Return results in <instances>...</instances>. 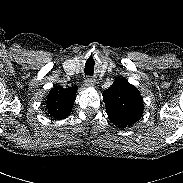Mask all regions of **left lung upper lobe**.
<instances>
[{
	"label": "left lung upper lobe",
	"mask_w": 183,
	"mask_h": 183,
	"mask_svg": "<svg viewBox=\"0 0 183 183\" xmlns=\"http://www.w3.org/2000/svg\"><path fill=\"white\" fill-rule=\"evenodd\" d=\"M102 95L109 119L119 128L132 126L141 118L143 99L126 79H117Z\"/></svg>",
	"instance_id": "1"
}]
</instances>
